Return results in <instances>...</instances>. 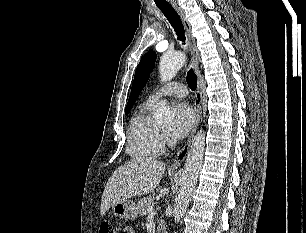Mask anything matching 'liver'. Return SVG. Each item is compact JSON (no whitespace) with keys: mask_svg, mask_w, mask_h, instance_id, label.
I'll use <instances>...</instances> for the list:
<instances>
[{"mask_svg":"<svg viewBox=\"0 0 306 233\" xmlns=\"http://www.w3.org/2000/svg\"><path fill=\"white\" fill-rule=\"evenodd\" d=\"M165 164L154 158H135L118 167L106 183L100 214L115 203L152 192L160 183Z\"/></svg>","mask_w":306,"mask_h":233,"instance_id":"1","label":"liver"}]
</instances>
